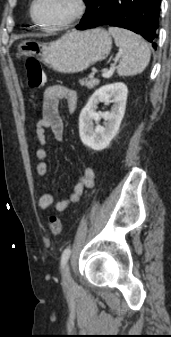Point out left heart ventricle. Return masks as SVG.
Here are the masks:
<instances>
[{
	"label": "left heart ventricle",
	"instance_id": "1",
	"mask_svg": "<svg viewBox=\"0 0 171 337\" xmlns=\"http://www.w3.org/2000/svg\"><path fill=\"white\" fill-rule=\"evenodd\" d=\"M74 9V0H39L36 16L44 24L55 25L69 18Z\"/></svg>",
	"mask_w": 171,
	"mask_h": 337
}]
</instances>
